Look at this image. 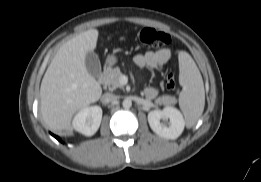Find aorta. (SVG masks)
Returning a JSON list of instances; mask_svg holds the SVG:
<instances>
[{"instance_id": "obj_1", "label": "aorta", "mask_w": 261, "mask_h": 182, "mask_svg": "<svg viewBox=\"0 0 261 182\" xmlns=\"http://www.w3.org/2000/svg\"><path fill=\"white\" fill-rule=\"evenodd\" d=\"M122 105L124 108H130L132 106V101L129 98L123 100Z\"/></svg>"}]
</instances>
